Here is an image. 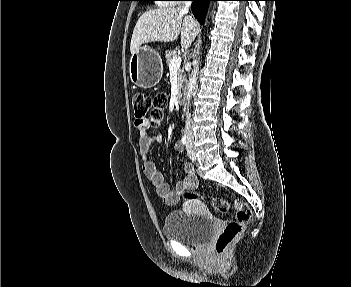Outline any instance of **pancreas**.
<instances>
[{"label": "pancreas", "mask_w": 351, "mask_h": 287, "mask_svg": "<svg viewBox=\"0 0 351 287\" xmlns=\"http://www.w3.org/2000/svg\"><path fill=\"white\" fill-rule=\"evenodd\" d=\"M174 57H177L175 50L174 51H166L165 58H166V63L168 66L170 65V63ZM182 73H183V70H181L179 68L178 69V85H179V87H181V85L184 81V76Z\"/></svg>", "instance_id": "obj_1"}]
</instances>
